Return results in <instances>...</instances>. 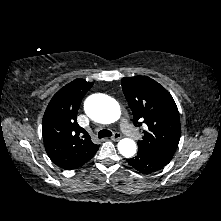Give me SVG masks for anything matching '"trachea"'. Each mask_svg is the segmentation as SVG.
I'll use <instances>...</instances> for the list:
<instances>
[{
  "mask_svg": "<svg viewBox=\"0 0 221 221\" xmlns=\"http://www.w3.org/2000/svg\"><path fill=\"white\" fill-rule=\"evenodd\" d=\"M112 136V132L109 131V130H106V129H102L101 131H99L98 133V137L101 139V138H104V137H110Z\"/></svg>",
  "mask_w": 221,
  "mask_h": 221,
  "instance_id": "1",
  "label": "trachea"
}]
</instances>
